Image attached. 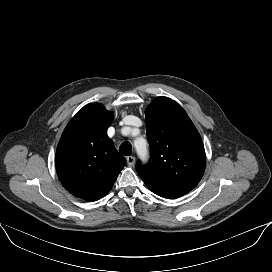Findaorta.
Listing matches in <instances>:
<instances>
[{
    "instance_id": "aorta-1",
    "label": "aorta",
    "mask_w": 272,
    "mask_h": 272,
    "mask_svg": "<svg viewBox=\"0 0 272 272\" xmlns=\"http://www.w3.org/2000/svg\"><path fill=\"white\" fill-rule=\"evenodd\" d=\"M134 146L136 149V152L138 156L142 159L145 160L148 155V149H147V141L144 138H137L134 141Z\"/></svg>"
}]
</instances>
